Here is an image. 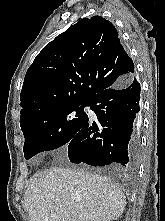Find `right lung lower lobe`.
<instances>
[{
	"label": "right lung lower lobe",
	"instance_id": "obj_1",
	"mask_svg": "<svg viewBox=\"0 0 165 221\" xmlns=\"http://www.w3.org/2000/svg\"><path fill=\"white\" fill-rule=\"evenodd\" d=\"M139 101L140 84L134 76L94 95L88 104L98 122L88 118L69 141L70 161L100 167L119 164L127 170L136 169L140 156Z\"/></svg>",
	"mask_w": 165,
	"mask_h": 221
}]
</instances>
